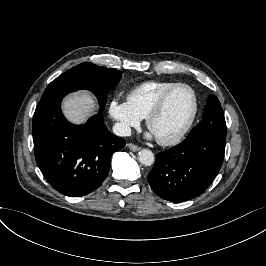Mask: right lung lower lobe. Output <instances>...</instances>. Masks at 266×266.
I'll return each instance as SVG.
<instances>
[{
    "instance_id": "98d812e1",
    "label": "right lung lower lobe",
    "mask_w": 266,
    "mask_h": 266,
    "mask_svg": "<svg viewBox=\"0 0 266 266\" xmlns=\"http://www.w3.org/2000/svg\"><path fill=\"white\" fill-rule=\"evenodd\" d=\"M66 92L40 100L32 123L37 164L48 183L69 197H80L97 189L110 170L111 155L126 141L103 124V112L84 125H73L60 108Z\"/></svg>"
}]
</instances>
